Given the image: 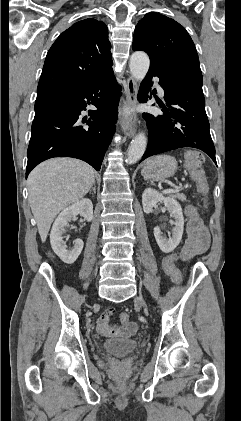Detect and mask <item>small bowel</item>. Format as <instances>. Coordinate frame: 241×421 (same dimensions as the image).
I'll list each match as a JSON object with an SVG mask.
<instances>
[{"label": "small bowel", "mask_w": 241, "mask_h": 421, "mask_svg": "<svg viewBox=\"0 0 241 421\" xmlns=\"http://www.w3.org/2000/svg\"><path fill=\"white\" fill-rule=\"evenodd\" d=\"M185 213L188 217V222L186 227V241L181 251V257L182 259H189L204 253L208 249L210 236L194 206L187 205L185 207ZM113 314L114 310L110 308L104 311L99 317L97 330L100 334L106 337L123 338H128L135 334L137 330V324L135 322L130 321L121 326L112 325L110 321Z\"/></svg>", "instance_id": "obj_1"}]
</instances>
